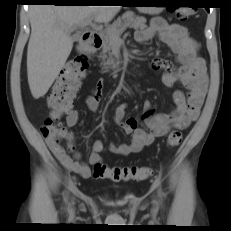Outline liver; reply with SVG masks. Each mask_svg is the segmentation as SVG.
<instances>
[{"label":"liver","mask_w":231,"mask_h":231,"mask_svg":"<svg viewBox=\"0 0 231 231\" xmlns=\"http://www.w3.org/2000/svg\"><path fill=\"white\" fill-rule=\"evenodd\" d=\"M120 6H57L30 7L31 36L27 51L28 83L32 96H44L65 65L72 48L70 33L87 19L108 22Z\"/></svg>","instance_id":"liver-1"}]
</instances>
